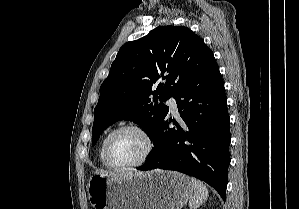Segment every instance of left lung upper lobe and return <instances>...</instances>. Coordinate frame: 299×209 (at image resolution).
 Listing matches in <instances>:
<instances>
[{
    "label": "left lung upper lobe",
    "instance_id": "1",
    "mask_svg": "<svg viewBox=\"0 0 299 209\" xmlns=\"http://www.w3.org/2000/svg\"><path fill=\"white\" fill-rule=\"evenodd\" d=\"M213 57L202 38L184 26H159L124 44L100 87L92 145L104 129L122 119L142 126L152 140L169 111L162 102Z\"/></svg>",
    "mask_w": 299,
    "mask_h": 209
}]
</instances>
